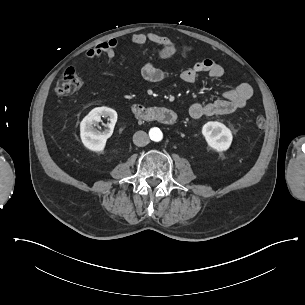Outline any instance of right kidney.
<instances>
[{"mask_svg": "<svg viewBox=\"0 0 305 305\" xmlns=\"http://www.w3.org/2000/svg\"><path fill=\"white\" fill-rule=\"evenodd\" d=\"M101 117H109L110 129H113L117 121V112L108 107H97L89 112L80 124V134L83 144L90 150L103 151L106 139L93 125L101 121Z\"/></svg>", "mask_w": 305, "mask_h": 305, "instance_id": "1", "label": "right kidney"}]
</instances>
